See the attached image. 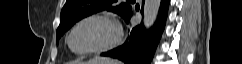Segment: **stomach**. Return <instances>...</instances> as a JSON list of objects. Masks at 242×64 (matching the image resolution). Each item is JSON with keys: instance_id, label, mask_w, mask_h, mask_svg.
I'll return each mask as SVG.
<instances>
[{"instance_id": "stomach-1", "label": "stomach", "mask_w": 242, "mask_h": 64, "mask_svg": "<svg viewBox=\"0 0 242 64\" xmlns=\"http://www.w3.org/2000/svg\"><path fill=\"white\" fill-rule=\"evenodd\" d=\"M80 64H108V63H101L100 61H98V62L89 61V62H82ZM115 64H117V63H115Z\"/></svg>"}]
</instances>
